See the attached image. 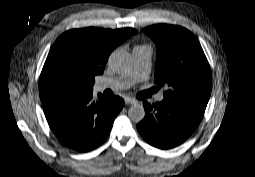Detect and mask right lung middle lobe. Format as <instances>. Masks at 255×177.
I'll return each mask as SVG.
<instances>
[{"mask_svg": "<svg viewBox=\"0 0 255 177\" xmlns=\"http://www.w3.org/2000/svg\"><path fill=\"white\" fill-rule=\"evenodd\" d=\"M94 77L75 67L65 56H55L43 67L39 94L42 102L92 91Z\"/></svg>", "mask_w": 255, "mask_h": 177, "instance_id": "obj_1", "label": "right lung middle lobe"}]
</instances>
